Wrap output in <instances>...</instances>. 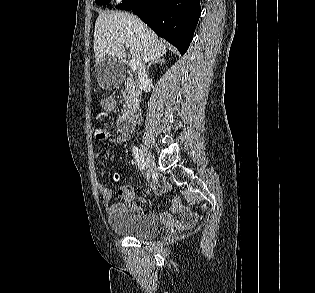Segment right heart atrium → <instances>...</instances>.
Instances as JSON below:
<instances>
[{
  "instance_id": "right-heart-atrium-1",
  "label": "right heart atrium",
  "mask_w": 315,
  "mask_h": 293,
  "mask_svg": "<svg viewBox=\"0 0 315 293\" xmlns=\"http://www.w3.org/2000/svg\"><path fill=\"white\" fill-rule=\"evenodd\" d=\"M116 1L121 2L122 0H116Z\"/></svg>"
}]
</instances>
